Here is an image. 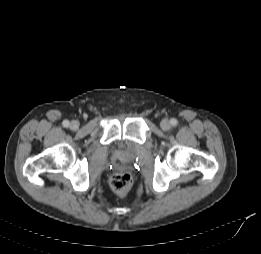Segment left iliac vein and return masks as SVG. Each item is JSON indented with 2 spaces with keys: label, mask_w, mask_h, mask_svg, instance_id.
Listing matches in <instances>:
<instances>
[{
  "label": "left iliac vein",
  "mask_w": 261,
  "mask_h": 254,
  "mask_svg": "<svg viewBox=\"0 0 261 254\" xmlns=\"http://www.w3.org/2000/svg\"><path fill=\"white\" fill-rule=\"evenodd\" d=\"M160 126L164 131L169 130L171 127L170 122L167 119H163L160 123Z\"/></svg>",
  "instance_id": "left-iliac-vein-1"
}]
</instances>
